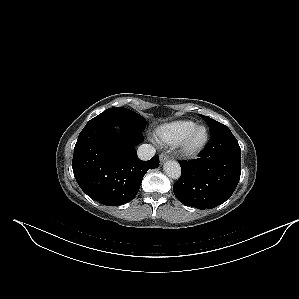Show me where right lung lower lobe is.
Listing matches in <instances>:
<instances>
[{
	"label": "right lung lower lobe",
	"instance_id": "98d812e1",
	"mask_svg": "<svg viewBox=\"0 0 299 299\" xmlns=\"http://www.w3.org/2000/svg\"><path fill=\"white\" fill-rule=\"evenodd\" d=\"M115 127H120L121 136ZM142 140V131L114 115L101 113L91 119L79 134L72 161L83 192L107 206L131 201L147 170L159 166L158 156L138 158L135 145Z\"/></svg>",
	"mask_w": 299,
	"mask_h": 299
}]
</instances>
